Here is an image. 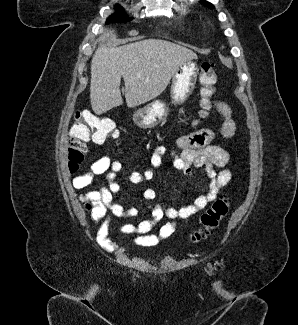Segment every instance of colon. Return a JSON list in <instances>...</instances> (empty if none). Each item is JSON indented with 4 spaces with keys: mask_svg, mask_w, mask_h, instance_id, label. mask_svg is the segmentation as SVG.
I'll return each mask as SVG.
<instances>
[{
    "mask_svg": "<svg viewBox=\"0 0 298 325\" xmlns=\"http://www.w3.org/2000/svg\"><path fill=\"white\" fill-rule=\"evenodd\" d=\"M217 75L214 65L203 62L200 66L199 82L201 85L202 110L201 114L206 115L211 108L210 98L214 93V85ZM118 131L114 122L105 117L97 116L91 112H78L75 121L70 128V140L68 149V168L76 172L84 162L90 143L102 144L110 138H115ZM230 203L226 198L214 201L201 216L202 228L195 231L192 241L199 243L205 240L220 224L228 214Z\"/></svg>",
    "mask_w": 298,
    "mask_h": 325,
    "instance_id": "1",
    "label": "colon"
}]
</instances>
